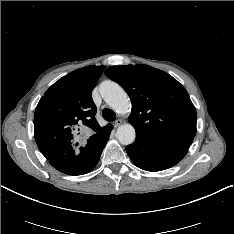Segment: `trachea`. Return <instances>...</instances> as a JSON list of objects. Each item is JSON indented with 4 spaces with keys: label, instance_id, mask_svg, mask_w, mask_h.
I'll return each mask as SVG.
<instances>
[{
    "label": "trachea",
    "instance_id": "trachea-1",
    "mask_svg": "<svg viewBox=\"0 0 234 234\" xmlns=\"http://www.w3.org/2000/svg\"><path fill=\"white\" fill-rule=\"evenodd\" d=\"M102 116L106 121H109V122H112L116 119L115 112L109 108L103 109Z\"/></svg>",
    "mask_w": 234,
    "mask_h": 234
}]
</instances>
